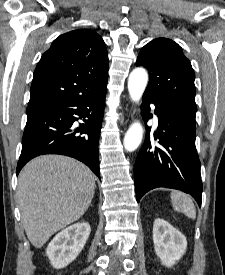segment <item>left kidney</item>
<instances>
[{
    "label": "left kidney",
    "instance_id": "left-kidney-1",
    "mask_svg": "<svg viewBox=\"0 0 225 275\" xmlns=\"http://www.w3.org/2000/svg\"><path fill=\"white\" fill-rule=\"evenodd\" d=\"M153 242L156 255L166 267L173 266L187 248L185 236L160 218L153 224Z\"/></svg>",
    "mask_w": 225,
    "mask_h": 275
}]
</instances>
